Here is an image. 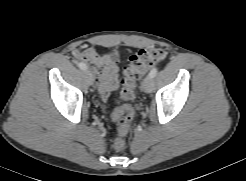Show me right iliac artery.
Listing matches in <instances>:
<instances>
[{
	"instance_id": "obj_1",
	"label": "right iliac artery",
	"mask_w": 246,
	"mask_h": 181,
	"mask_svg": "<svg viewBox=\"0 0 246 181\" xmlns=\"http://www.w3.org/2000/svg\"><path fill=\"white\" fill-rule=\"evenodd\" d=\"M78 67L82 70H86L88 68L85 63H78Z\"/></svg>"
}]
</instances>
